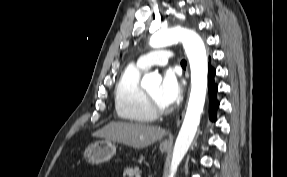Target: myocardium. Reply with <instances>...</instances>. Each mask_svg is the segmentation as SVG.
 Listing matches in <instances>:
<instances>
[{"mask_svg":"<svg viewBox=\"0 0 287 177\" xmlns=\"http://www.w3.org/2000/svg\"><path fill=\"white\" fill-rule=\"evenodd\" d=\"M145 96L149 105L150 110L155 115H164L171 111L170 108L162 107L150 94L147 90H145Z\"/></svg>","mask_w":287,"mask_h":177,"instance_id":"f54148a6","label":"myocardium"}]
</instances>
